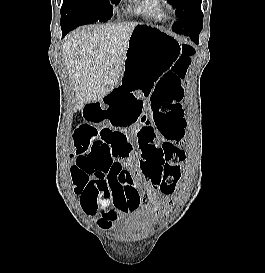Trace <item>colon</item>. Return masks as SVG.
Instances as JSON below:
<instances>
[{"mask_svg":"<svg viewBox=\"0 0 265 273\" xmlns=\"http://www.w3.org/2000/svg\"><path fill=\"white\" fill-rule=\"evenodd\" d=\"M194 49L183 46L180 55L172 66L157 81L151 95L150 117L151 128L161 134L164 142L158 155L166 159L162 169L152 175L151 181L155 189L163 194H171L181 177V164L185 158L183 145L186 119L181 100L184 95L182 80L191 64ZM141 122L150 125L148 115H143ZM87 124V123H84ZM114 124V123H111ZM116 136L111 129H75L73 139L75 144V163L71 166V175L75 191L96 195L98 182L91 175L99 176L110 165L108 146Z\"/></svg>","mask_w":265,"mask_h":273,"instance_id":"obj_1","label":"colon"}]
</instances>
